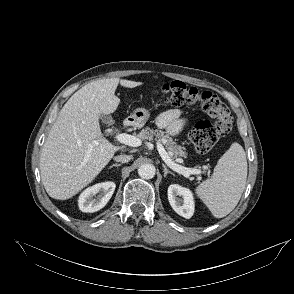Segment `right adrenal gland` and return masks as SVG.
I'll return each mask as SVG.
<instances>
[{
	"mask_svg": "<svg viewBox=\"0 0 294 294\" xmlns=\"http://www.w3.org/2000/svg\"><path fill=\"white\" fill-rule=\"evenodd\" d=\"M119 166H121V164H117V163H115V164H112V165L110 166V168H112V167H119Z\"/></svg>",
	"mask_w": 294,
	"mask_h": 294,
	"instance_id": "2a0ac1e0",
	"label": "right adrenal gland"
}]
</instances>
